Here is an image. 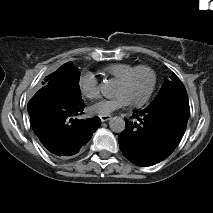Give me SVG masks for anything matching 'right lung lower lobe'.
<instances>
[{
  "label": "right lung lower lobe",
  "instance_id": "right-lung-lower-lobe-1",
  "mask_svg": "<svg viewBox=\"0 0 213 213\" xmlns=\"http://www.w3.org/2000/svg\"><path fill=\"white\" fill-rule=\"evenodd\" d=\"M81 96L63 87L46 85L29 101L27 110L35 134L53 154L71 156L85 145L100 126L99 117L78 120L83 113Z\"/></svg>",
  "mask_w": 213,
  "mask_h": 213
}]
</instances>
